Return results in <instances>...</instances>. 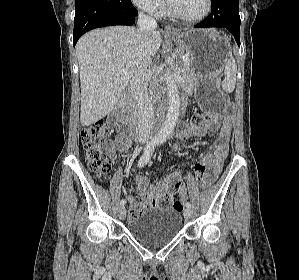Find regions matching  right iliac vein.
I'll return each instance as SVG.
<instances>
[{
	"mask_svg": "<svg viewBox=\"0 0 299 280\" xmlns=\"http://www.w3.org/2000/svg\"><path fill=\"white\" fill-rule=\"evenodd\" d=\"M125 216H126V209L124 206H121L119 208V217H120V219H124Z\"/></svg>",
	"mask_w": 299,
	"mask_h": 280,
	"instance_id": "right-iliac-vein-1",
	"label": "right iliac vein"
}]
</instances>
